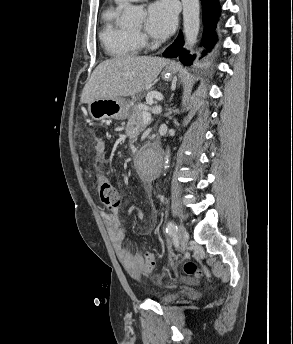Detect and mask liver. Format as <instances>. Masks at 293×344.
Masks as SVG:
<instances>
[{"label":"liver","instance_id":"liver-1","mask_svg":"<svg viewBox=\"0 0 293 344\" xmlns=\"http://www.w3.org/2000/svg\"><path fill=\"white\" fill-rule=\"evenodd\" d=\"M167 62L160 57L134 55L103 61L85 84L81 102L134 96L151 85Z\"/></svg>","mask_w":293,"mask_h":344}]
</instances>
